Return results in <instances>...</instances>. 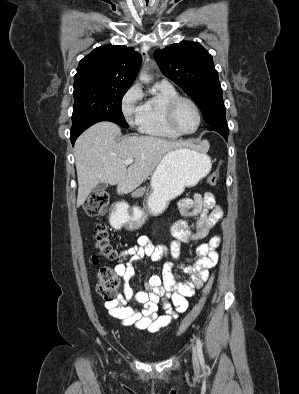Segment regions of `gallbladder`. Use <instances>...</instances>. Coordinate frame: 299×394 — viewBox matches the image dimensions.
Wrapping results in <instances>:
<instances>
[{
	"mask_svg": "<svg viewBox=\"0 0 299 394\" xmlns=\"http://www.w3.org/2000/svg\"><path fill=\"white\" fill-rule=\"evenodd\" d=\"M108 187V184L105 182H100L96 185V187L94 188L95 192H101L104 191L106 188Z\"/></svg>",
	"mask_w": 299,
	"mask_h": 394,
	"instance_id": "obj_1",
	"label": "gallbladder"
}]
</instances>
